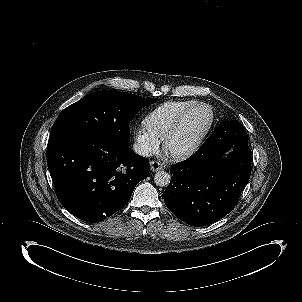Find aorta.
I'll use <instances>...</instances> for the list:
<instances>
[{
	"label": "aorta",
	"instance_id": "aorta-1",
	"mask_svg": "<svg viewBox=\"0 0 302 302\" xmlns=\"http://www.w3.org/2000/svg\"><path fill=\"white\" fill-rule=\"evenodd\" d=\"M171 176L166 171H158L154 176V183L159 187H166L170 183Z\"/></svg>",
	"mask_w": 302,
	"mask_h": 302
}]
</instances>
